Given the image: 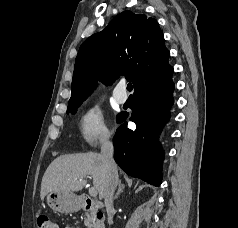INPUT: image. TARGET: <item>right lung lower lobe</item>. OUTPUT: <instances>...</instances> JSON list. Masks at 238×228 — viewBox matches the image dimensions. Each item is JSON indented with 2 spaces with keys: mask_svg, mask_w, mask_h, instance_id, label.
Listing matches in <instances>:
<instances>
[{
  "mask_svg": "<svg viewBox=\"0 0 238 228\" xmlns=\"http://www.w3.org/2000/svg\"><path fill=\"white\" fill-rule=\"evenodd\" d=\"M173 91L171 71L137 89L134 92L135 109L130 117L136 129H128L124 122L113 138L114 159L121 169L154 186L162 181L164 152L157 138L170 118ZM127 116L120 113L117 122L125 121Z\"/></svg>",
  "mask_w": 238,
  "mask_h": 228,
  "instance_id": "right-lung-lower-lobe-1",
  "label": "right lung lower lobe"
}]
</instances>
